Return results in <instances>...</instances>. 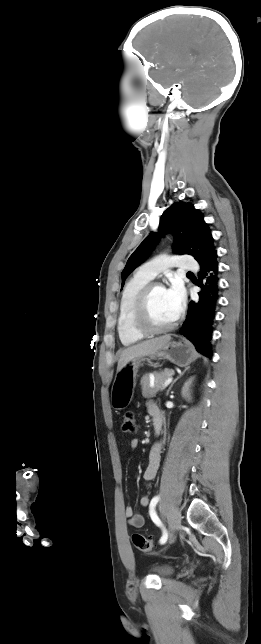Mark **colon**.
<instances>
[{
    "instance_id": "5ec220e1",
    "label": "colon",
    "mask_w": 261,
    "mask_h": 644,
    "mask_svg": "<svg viewBox=\"0 0 261 644\" xmlns=\"http://www.w3.org/2000/svg\"><path fill=\"white\" fill-rule=\"evenodd\" d=\"M137 423L136 418L133 412L128 411L123 415L122 419V430L125 433H134L136 431ZM132 542L134 546L143 552H149L153 549V542L151 539L141 535L133 534Z\"/></svg>"
}]
</instances>
